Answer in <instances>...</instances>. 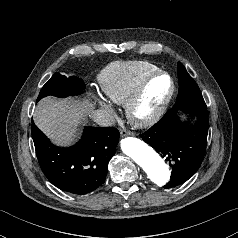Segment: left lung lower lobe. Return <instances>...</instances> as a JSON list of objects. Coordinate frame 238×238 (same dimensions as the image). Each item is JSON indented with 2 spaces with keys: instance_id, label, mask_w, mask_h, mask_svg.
<instances>
[{
  "instance_id": "1",
  "label": "left lung lower lobe",
  "mask_w": 238,
  "mask_h": 238,
  "mask_svg": "<svg viewBox=\"0 0 238 238\" xmlns=\"http://www.w3.org/2000/svg\"><path fill=\"white\" fill-rule=\"evenodd\" d=\"M208 127L207 109L170 110L140 135L172 169L164 188L181 185L196 173L204 158Z\"/></svg>"
}]
</instances>
